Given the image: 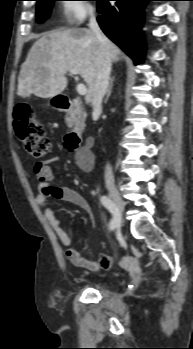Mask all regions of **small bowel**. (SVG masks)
I'll list each match as a JSON object with an SVG mask.
<instances>
[{
	"instance_id": "small-bowel-1",
	"label": "small bowel",
	"mask_w": 193,
	"mask_h": 349,
	"mask_svg": "<svg viewBox=\"0 0 193 349\" xmlns=\"http://www.w3.org/2000/svg\"><path fill=\"white\" fill-rule=\"evenodd\" d=\"M58 159L55 156L34 165V173L38 180L36 202L44 209L45 217L60 241L64 245L69 246L71 244V238L62 227L61 221L55 215L53 209L48 206L49 199L54 198L73 204L86 212L89 211L90 206L84 196L77 190L70 187H57L53 185L54 175L51 164L58 161ZM77 164L83 171H91L94 166L93 154L90 151L80 153L77 156ZM66 255L76 267L94 273L103 274L110 270L113 265L112 258L107 255L100 254L97 261H91L85 258L80 250L76 248H69Z\"/></svg>"
}]
</instances>
